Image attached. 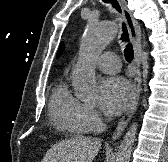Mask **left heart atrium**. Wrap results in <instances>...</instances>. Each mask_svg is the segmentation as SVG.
Listing matches in <instances>:
<instances>
[{
    "label": "left heart atrium",
    "mask_w": 168,
    "mask_h": 162,
    "mask_svg": "<svg viewBox=\"0 0 168 162\" xmlns=\"http://www.w3.org/2000/svg\"><path fill=\"white\" fill-rule=\"evenodd\" d=\"M132 97L129 83L122 77H109L100 86V106L108 116L120 114Z\"/></svg>",
    "instance_id": "1"
}]
</instances>
